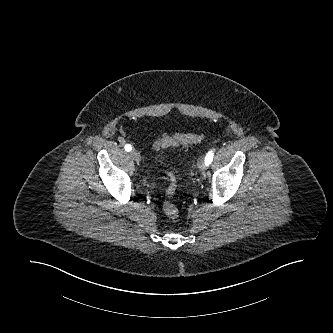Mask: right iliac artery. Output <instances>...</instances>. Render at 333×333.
Listing matches in <instances>:
<instances>
[{
    "mask_svg": "<svg viewBox=\"0 0 333 333\" xmlns=\"http://www.w3.org/2000/svg\"><path fill=\"white\" fill-rule=\"evenodd\" d=\"M124 148L127 152H130L132 150V146L130 144H126Z\"/></svg>",
    "mask_w": 333,
    "mask_h": 333,
    "instance_id": "1",
    "label": "right iliac artery"
}]
</instances>
